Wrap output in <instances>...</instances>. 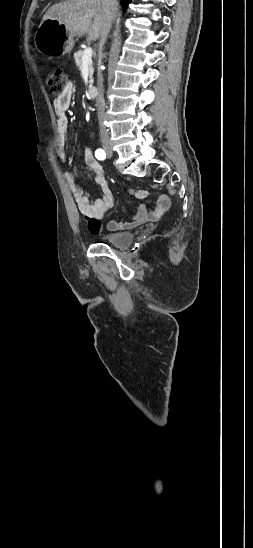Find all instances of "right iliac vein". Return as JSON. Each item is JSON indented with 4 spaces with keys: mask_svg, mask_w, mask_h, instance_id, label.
<instances>
[{
    "mask_svg": "<svg viewBox=\"0 0 253 548\" xmlns=\"http://www.w3.org/2000/svg\"><path fill=\"white\" fill-rule=\"evenodd\" d=\"M103 148L110 156L113 154L112 147L109 143H104Z\"/></svg>",
    "mask_w": 253,
    "mask_h": 548,
    "instance_id": "63e3f726",
    "label": "right iliac vein"
}]
</instances>
